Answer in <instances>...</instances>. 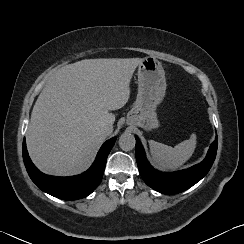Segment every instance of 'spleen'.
Instances as JSON below:
<instances>
[{
  "instance_id": "3e777b00",
  "label": "spleen",
  "mask_w": 244,
  "mask_h": 244,
  "mask_svg": "<svg viewBox=\"0 0 244 244\" xmlns=\"http://www.w3.org/2000/svg\"><path fill=\"white\" fill-rule=\"evenodd\" d=\"M196 142L194 133L191 134L190 139L184 140L174 147L150 140V153L154 163L161 170H175L192 156L196 148Z\"/></svg>"
}]
</instances>
